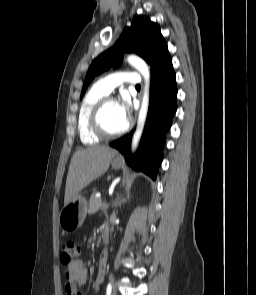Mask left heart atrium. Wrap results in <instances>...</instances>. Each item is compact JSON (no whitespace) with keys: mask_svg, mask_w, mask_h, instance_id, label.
Instances as JSON below:
<instances>
[{"mask_svg":"<svg viewBox=\"0 0 256 295\" xmlns=\"http://www.w3.org/2000/svg\"><path fill=\"white\" fill-rule=\"evenodd\" d=\"M117 111L120 118L127 123L130 113V101L129 98L124 95L120 101L116 103Z\"/></svg>","mask_w":256,"mask_h":295,"instance_id":"left-heart-atrium-1","label":"left heart atrium"}]
</instances>
